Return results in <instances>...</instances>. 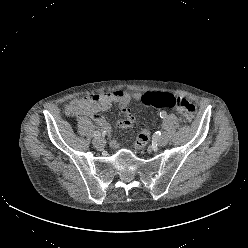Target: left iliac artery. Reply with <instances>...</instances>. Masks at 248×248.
Returning a JSON list of instances; mask_svg holds the SVG:
<instances>
[{
  "label": "left iliac artery",
  "instance_id": "1",
  "mask_svg": "<svg viewBox=\"0 0 248 248\" xmlns=\"http://www.w3.org/2000/svg\"><path fill=\"white\" fill-rule=\"evenodd\" d=\"M166 115H167V113H166L165 111L160 112V117H161V118H165ZM158 133H159V135L162 134L161 132H158Z\"/></svg>",
  "mask_w": 248,
  "mask_h": 248
}]
</instances>
